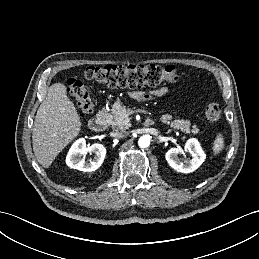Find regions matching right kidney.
<instances>
[{"label":"right kidney","mask_w":259,"mask_h":259,"mask_svg":"<svg viewBox=\"0 0 259 259\" xmlns=\"http://www.w3.org/2000/svg\"><path fill=\"white\" fill-rule=\"evenodd\" d=\"M87 153L95 155L89 162H86L84 159ZM105 155L106 148L102 144H92L87 147L85 139L80 138L71 146L66 157V164L73 169L83 172H92L101 166Z\"/></svg>","instance_id":"ca27d5eb"}]
</instances>
